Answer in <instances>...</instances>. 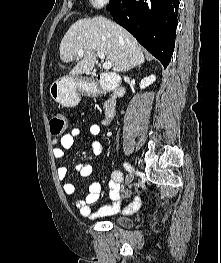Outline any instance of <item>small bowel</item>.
Wrapping results in <instances>:
<instances>
[{
  "label": "small bowel",
  "mask_w": 221,
  "mask_h": 263,
  "mask_svg": "<svg viewBox=\"0 0 221 263\" xmlns=\"http://www.w3.org/2000/svg\"><path fill=\"white\" fill-rule=\"evenodd\" d=\"M101 130V125L93 124L89 128L88 134L92 137H97L100 135ZM84 135L85 133L83 130L80 128H74L60 139L54 140V147L52 149L54 159H62L64 157L65 150L72 148L74 142L77 139L82 138ZM90 148L95 155H102L104 153V144L97 139L91 140ZM76 171L81 177H89L92 173V166L89 164H79L76 166ZM67 175L68 170L66 167L61 166L57 169V176L62 181L63 192L67 195H72L75 193V186L70 181H67ZM123 180L124 175L121 171L116 170L111 173V179L109 182V197L111 199V204L101 207L96 212L91 211L89 206L99 200L102 190L101 182L97 180L90 184L88 195L85 198H78L75 200V206L85 217H104L114 215L118 212H135L140 208L141 199L139 197L131 198L128 191L121 192V183ZM121 196L126 199H130V203L125 207L122 206Z\"/></svg>",
  "instance_id": "obj_1"
}]
</instances>
